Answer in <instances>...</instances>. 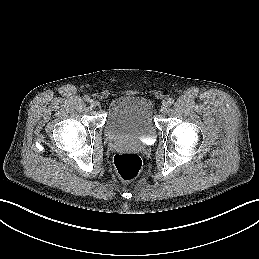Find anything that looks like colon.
I'll use <instances>...</instances> for the list:
<instances>
[{"mask_svg":"<svg viewBox=\"0 0 259 259\" xmlns=\"http://www.w3.org/2000/svg\"><path fill=\"white\" fill-rule=\"evenodd\" d=\"M113 165L118 177L122 181L128 182L138 176L142 168V161L137 154L125 152L115 155Z\"/></svg>","mask_w":259,"mask_h":259,"instance_id":"5ec220e1","label":"colon"}]
</instances>
